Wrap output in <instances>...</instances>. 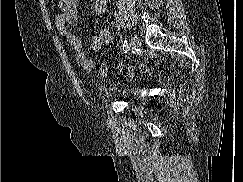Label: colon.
Returning a JSON list of instances; mask_svg holds the SVG:
<instances>
[{"label":"colon","instance_id":"5ec220e1","mask_svg":"<svg viewBox=\"0 0 243 182\" xmlns=\"http://www.w3.org/2000/svg\"><path fill=\"white\" fill-rule=\"evenodd\" d=\"M108 67L105 64H100L98 69H97V74L101 78H105L108 76Z\"/></svg>","mask_w":243,"mask_h":182}]
</instances>
